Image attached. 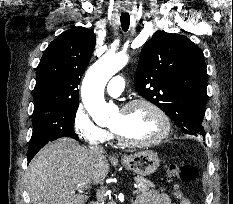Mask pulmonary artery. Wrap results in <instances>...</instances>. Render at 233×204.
I'll return each mask as SVG.
<instances>
[{"label":"pulmonary artery","instance_id":"e3ab8cb5","mask_svg":"<svg viewBox=\"0 0 233 204\" xmlns=\"http://www.w3.org/2000/svg\"><path fill=\"white\" fill-rule=\"evenodd\" d=\"M125 87V81L122 76H114L107 84V92L111 96H119Z\"/></svg>","mask_w":233,"mask_h":204}]
</instances>
